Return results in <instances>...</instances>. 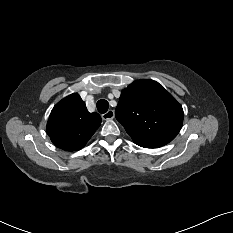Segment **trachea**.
<instances>
[{
	"label": "trachea",
	"instance_id": "1",
	"mask_svg": "<svg viewBox=\"0 0 233 233\" xmlns=\"http://www.w3.org/2000/svg\"><path fill=\"white\" fill-rule=\"evenodd\" d=\"M108 108H109V103L107 100L105 99H101L97 102V110L100 112V113H106L108 111Z\"/></svg>",
	"mask_w": 233,
	"mask_h": 233
}]
</instances>
